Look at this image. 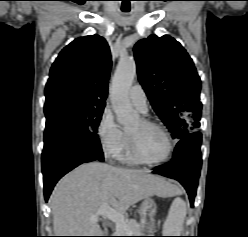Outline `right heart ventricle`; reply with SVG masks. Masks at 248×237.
Segmentation results:
<instances>
[{
	"label": "right heart ventricle",
	"mask_w": 248,
	"mask_h": 237,
	"mask_svg": "<svg viewBox=\"0 0 248 237\" xmlns=\"http://www.w3.org/2000/svg\"><path fill=\"white\" fill-rule=\"evenodd\" d=\"M118 159L121 160L122 162L128 163V164H135V163H138V162L132 157V155H131L127 137H126V140H125V145H124L123 151H122L121 154L119 155Z\"/></svg>",
	"instance_id": "1"
}]
</instances>
